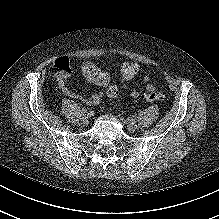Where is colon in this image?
<instances>
[{"mask_svg": "<svg viewBox=\"0 0 219 219\" xmlns=\"http://www.w3.org/2000/svg\"><path fill=\"white\" fill-rule=\"evenodd\" d=\"M138 69L137 64L125 62L121 66V74L124 78H130L137 75ZM71 71L72 67L70 60L67 57H59L50 67L49 75L58 81H62L70 75ZM91 71L96 75V82L104 87L108 97H116L118 95V88L115 85L110 84V76L107 73L99 71L98 68H92ZM134 97L139 98V95ZM163 97V93L156 91H148L140 96V98L146 102L159 101L162 100Z\"/></svg>", "mask_w": 219, "mask_h": 219, "instance_id": "colon-1", "label": "colon"}]
</instances>
